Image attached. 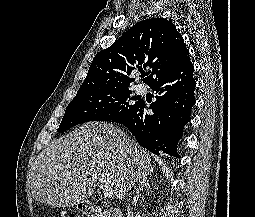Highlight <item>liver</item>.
<instances>
[{
    "instance_id": "1",
    "label": "liver",
    "mask_w": 255,
    "mask_h": 217,
    "mask_svg": "<svg viewBox=\"0 0 255 217\" xmlns=\"http://www.w3.org/2000/svg\"><path fill=\"white\" fill-rule=\"evenodd\" d=\"M152 170L150 153L122 130L108 123H86L39 153L31 191L39 203L70 207L83 203L98 178H104L122 200Z\"/></svg>"
}]
</instances>
